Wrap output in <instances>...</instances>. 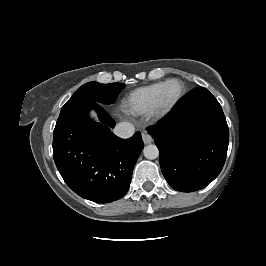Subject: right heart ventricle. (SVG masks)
Segmentation results:
<instances>
[{
	"label": "right heart ventricle",
	"mask_w": 266,
	"mask_h": 266,
	"mask_svg": "<svg viewBox=\"0 0 266 266\" xmlns=\"http://www.w3.org/2000/svg\"><path fill=\"white\" fill-rule=\"evenodd\" d=\"M165 82L140 87L132 91L123 101V108L132 115L152 113L157 96Z\"/></svg>",
	"instance_id": "e07e8e85"
}]
</instances>
